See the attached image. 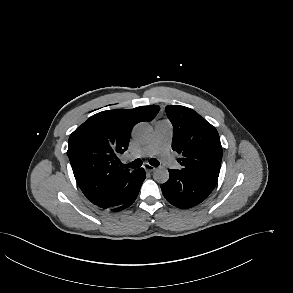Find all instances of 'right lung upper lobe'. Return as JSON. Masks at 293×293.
Returning a JSON list of instances; mask_svg holds the SVG:
<instances>
[{"label": "right lung upper lobe", "instance_id": "right-lung-upper-lobe-1", "mask_svg": "<svg viewBox=\"0 0 293 293\" xmlns=\"http://www.w3.org/2000/svg\"><path fill=\"white\" fill-rule=\"evenodd\" d=\"M157 105L97 113L69 137L68 157L80 189L89 201L103 209L123 204L138 183V169L119 166L118 156L128 148L132 128L151 121Z\"/></svg>", "mask_w": 293, "mask_h": 293}]
</instances>
